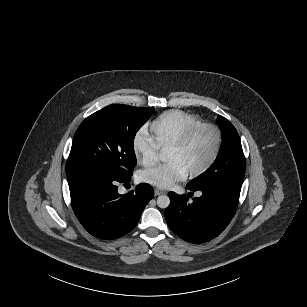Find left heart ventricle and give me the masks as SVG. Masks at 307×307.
Here are the masks:
<instances>
[{"label":"left heart ventricle","mask_w":307,"mask_h":307,"mask_svg":"<svg viewBox=\"0 0 307 307\" xmlns=\"http://www.w3.org/2000/svg\"><path fill=\"white\" fill-rule=\"evenodd\" d=\"M216 145L217 134L214 130L208 129L203 131L185 149L181 151H165L162 159L178 164L189 174L207 162Z\"/></svg>","instance_id":"b2bd125f"}]
</instances>
